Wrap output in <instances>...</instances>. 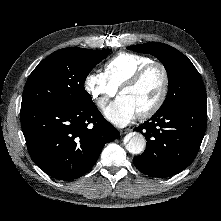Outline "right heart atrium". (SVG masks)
Listing matches in <instances>:
<instances>
[{"mask_svg": "<svg viewBox=\"0 0 221 221\" xmlns=\"http://www.w3.org/2000/svg\"><path fill=\"white\" fill-rule=\"evenodd\" d=\"M83 87L94 104L101 110L106 107L118 90L108 81L104 73L99 71H91L86 74Z\"/></svg>", "mask_w": 221, "mask_h": 221, "instance_id": "right-heart-atrium-1", "label": "right heart atrium"}]
</instances>
